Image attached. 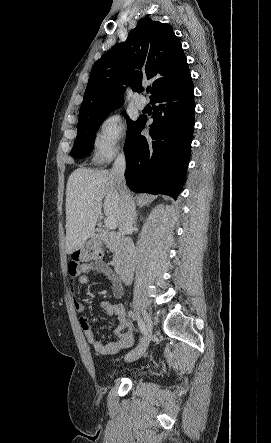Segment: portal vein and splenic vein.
<instances>
[{
  "instance_id": "obj_1",
  "label": "portal vein and splenic vein",
  "mask_w": 271,
  "mask_h": 443,
  "mask_svg": "<svg viewBox=\"0 0 271 443\" xmlns=\"http://www.w3.org/2000/svg\"><path fill=\"white\" fill-rule=\"evenodd\" d=\"M104 223L106 227H108V229H115V227H117V222L115 218H106Z\"/></svg>"
}]
</instances>
